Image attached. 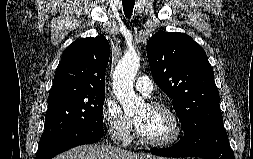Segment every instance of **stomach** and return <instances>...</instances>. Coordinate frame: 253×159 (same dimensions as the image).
<instances>
[{
    "instance_id": "1",
    "label": "stomach",
    "mask_w": 253,
    "mask_h": 159,
    "mask_svg": "<svg viewBox=\"0 0 253 159\" xmlns=\"http://www.w3.org/2000/svg\"><path fill=\"white\" fill-rule=\"evenodd\" d=\"M148 159H167V158H159V157H155V158H148Z\"/></svg>"
}]
</instances>
